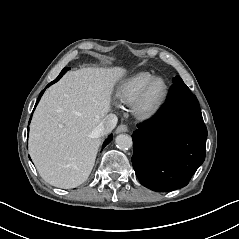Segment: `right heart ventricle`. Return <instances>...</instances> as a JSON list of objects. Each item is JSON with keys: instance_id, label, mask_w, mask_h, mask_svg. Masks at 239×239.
Listing matches in <instances>:
<instances>
[{"instance_id": "right-heart-ventricle-1", "label": "right heart ventricle", "mask_w": 239, "mask_h": 239, "mask_svg": "<svg viewBox=\"0 0 239 239\" xmlns=\"http://www.w3.org/2000/svg\"><path fill=\"white\" fill-rule=\"evenodd\" d=\"M156 77L150 71H139L126 78L118 88V99L127 105L132 104L146 85Z\"/></svg>"}]
</instances>
